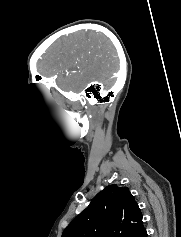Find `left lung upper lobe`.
<instances>
[{
  "label": "left lung upper lobe",
  "instance_id": "5c2ea615",
  "mask_svg": "<svg viewBox=\"0 0 181 237\" xmlns=\"http://www.w3.org/2000/svg\"><path fill=\"white\" fill-rule=\"evenodd\" d=\"M142 213L127 187L108 185L63 231L62 237H138Z\"/></svg>",
  "mask_w": 181,
  "mask_h": 237
}]
</instances>
